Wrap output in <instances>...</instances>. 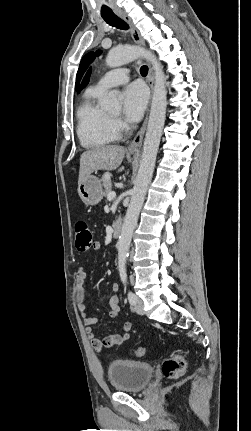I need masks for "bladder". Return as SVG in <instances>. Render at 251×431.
Wrapping results in <instances>:
<instances>
[{
  "label": "bladder",
  "mask_w": 251,
  "mask_h": 431,
  "mask_svg": "<svg viewBox=\"0 0 251 431\" xmlns=\"http://www.w3.org/2000/svg\"><path fill=\"white\" fill-rule=\"evenodd\" d=\"M107 374L113 389L120 392H138L150 383L154 370L145 362L115 360L109 364Z\"/></svg>",
  "instance_id": "obj_1"
}]
</instances>
